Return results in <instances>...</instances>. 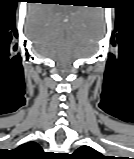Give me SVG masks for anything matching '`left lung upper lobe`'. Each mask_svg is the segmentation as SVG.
Here are the masks:
<instances>
[{
  "label": "left lung upper lobe",
  "instance_id": "1",
  "mask_svg": "<svg viewBox=\"0 0 134 159\" xmlns=\"http://www.w3.org/2000/svg\"><path fill=\"white\" fill-rule=\"evenodd\" d=\"M71 159H107L89 146H82L70 156Z\"/></svg>",
  "mask_w": 134,
  "mask_h": 159
}]
</instances>
